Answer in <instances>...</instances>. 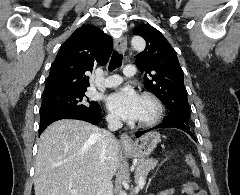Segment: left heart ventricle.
I'll use <instances>...</instances> for the list:
<instances>
[{
  "label": "left heart ventricle",
  "mask_w": 240,
  "mask_h": 195,
  "mask_svg": "<svg viewBox=\"0 0 240 195\" xmlns=\"http://www.w3.org/2000/svg\"><path fill=\"white\" fill-rule=\"evenodd\" d=\"M152 111V105L148 101L141 99L140 113L137 121L149 118L152 115Z\"/></svg>",
  "instance_id": "left-heart-ventricle-1"
}]
</instances>
